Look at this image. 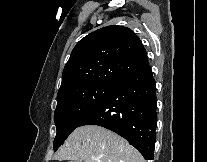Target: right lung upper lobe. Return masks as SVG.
I'll return each mask as SVG.
<instances>
[{
	"label": "right lung upper lobe",
	"instance_id": "cb5924a9",
	"mask_svg": "<svg viewBox=\"0 0 207 162\" xmlns=\"http://www.w3.org/2000/svg\"><path fill=\"white\" fill-rule=\"evenodd\" d=\"M148 65L137 35L123 26L98 29L74 47L65 65L58 95L95 84H116Z\"/></svg>",
	"mask_w": 207,
	"mask_h": 162
}]
</instances>
